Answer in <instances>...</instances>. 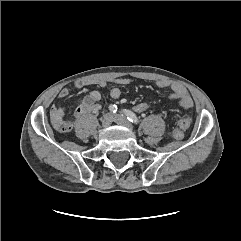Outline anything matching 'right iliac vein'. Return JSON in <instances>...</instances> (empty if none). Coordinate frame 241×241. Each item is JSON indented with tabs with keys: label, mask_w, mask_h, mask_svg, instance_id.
<instances>
[{
	"label": "right iliac vein",
	"mask_w": 241,
	"mask_h": 241,
	"mask_svg": "<svg viewBox=\"0 0 241 241\" xmlns=\"http://www.w3.org/2000/svg\"><path fill=\"white\" fill-rule=\"evenodd\" d=\"M114 119L113 114H105L101 120L103 127H108L111 125L112 121Z\"/></svg>",
	"instance_id": "obj_1"
}]
</instances>
